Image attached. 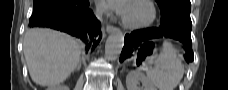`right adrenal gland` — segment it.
Instances as JSON below:
<instances>
[{"instance_id":"1","label":"right adrenal gland","mask_w":228,"mask_h":90,"mask_svg":"<svg viewBox=\"0 0 228 90\" xmlns=\"http://www.w3.org/2000/svg\"><path fill=\"white\" fill-rule=\"evenodd\" d=\"M81 64H82V60L79 61L78 65H77V67H76V70H78V71L80 70Z\"/></svg>"}]
</instances>
